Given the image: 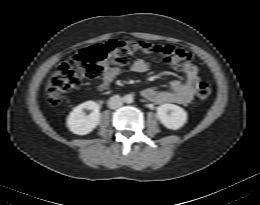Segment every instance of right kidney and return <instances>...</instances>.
Wrapping results in <instances>:
<instances>
[{
    "instance_id": "obj_1",
    "label": "right kidney",
    "mask_w": 260,
    "mask_h": 205,
    "mask_svg": "<svg viewBox=\"0 0 260 205\" xmlns=\"http://www.w3.org/2000/svg\"><path fill=\"white\" fill-rule=\"evenodd\" d=\"M84 109L91 110L85 115ZM100 106L94 101H87L75 107L67 118V126L77 135L89 134L100 122Z\"/></svg>"
}]
</instances>
